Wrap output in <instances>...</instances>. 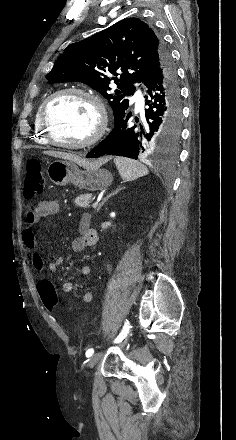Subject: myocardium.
<instances>
[{"label":"myocardium","mask_w":236,"mask_h":440,"mask_svg":"<svg viewBox=\"0 0 236 440\" xmlns=\"http://www.w3.org/2000/svg\"><path fill=\"white\" fill-rule=\"evenodd\" d=\"M69 94L79 95V96L87 98L92 103V105L94 106V108L96 110L97 123H96V127H95L94 132L92 133V135L88 139H86L82 142H79V143H64V142H60V141L55 140L51 131H50L48 121H47V113H48V110H49L51 103L56 98L63 96V95H69ZM39 121H40V126L42 128V131H43L48 143H50L51 145L65 148V149H84V148H88V147L93 146L102 138V136L104 135L106 128H107L108 115H107L106 107L99 96H97L93 92L88 91L86 89H82V88H78V87H67V88H63V89L55 91L44 101L42 108H41V111H40Z\"/></svg>","instance_id":"f54148a6"}]
</instances>
